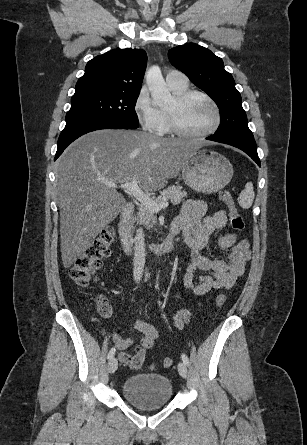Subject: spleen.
Masks as SVG:
<instances>
[{
  "label": "spleen",
  "mask_w": 307,
  "mask_h": 445,
  "mask_svg": "<svg viewBox=\"0 0 307 445\" xmlns=\"http://www.w3.org/2000/svg\"><path fill=\"white\" fill-rule=\"evenodd\" d=\"M254 186L252 182H246L244 190L238 196V202L242 208H250L254 200Z\"/></svg>",
  "instance_id": "spleen-1"
}]
</instances>
